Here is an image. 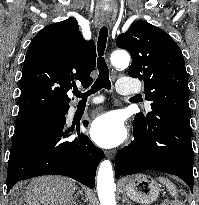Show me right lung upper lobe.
<instances>
[{
	"label": "right lung upper lobe",
	"mask_w": 199,
	"mask_h": 205,
	"mask_svg": "<svg viewBox=\"0 0 199 205\" xmlns=\"http://www.w3.org/2000/svg\"><path fill=\"white\" fill-rule=\"evenodd\" d=\"M95 60V43L83 38L74 17L44 27L26 53L18 116L68 108V90L75 81L92 83Z\"/></svg>",
	"instance_id": "right-lung-upper-lobe-1"
}]
</instances>
